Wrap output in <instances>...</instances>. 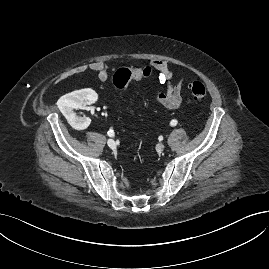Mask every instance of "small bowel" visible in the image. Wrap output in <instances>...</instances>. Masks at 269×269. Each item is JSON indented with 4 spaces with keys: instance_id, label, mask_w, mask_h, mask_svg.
<instances>
[{
    "instance_id": "1",
    "label": "small bowel",
    "mask_w": 269,
    "mask_h": 269,
    "mask_svg": "<svg viewBox=\"0 0 269 269\" xmlns=\"http://www.w3.org/2000/svg\"><path fill=\"white\" fill-rule=\"evenodd\" d=\"M149 64L157 71L158 81L165 86V91L157 93L154 96V101L167 109L179 107L184 99V91L181 81L176 80L174 77L171 64L161 59H152ZM79 70H91L102 81L107 80L109 77V67L104 62L93 61L79 67ZM142 70V68L132 70L135 79L142 78Z\"/></svg>"
}]
</instances>
